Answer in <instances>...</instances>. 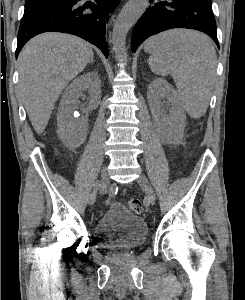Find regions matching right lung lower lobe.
Listing matches in <instances>:
<instances>
[{
    "instance_id": "1",
    "label": "right lung lower lobe",
    "mask_w": 245,
    "mask_h": 300,
    "mask_svg": "<svg viewBox=\"0 0 245 300\" xmlns=\"http://www.w3.org/2000/svg\"><path fill=\"white\" fill-rule=\"evenodd\" d=\"M120 0H59L24 12L18 32L16 56L37 34L55 31L79 36L96 45L108 57L105 42L109 13Z\"/></svg>"
}]
</instances>
